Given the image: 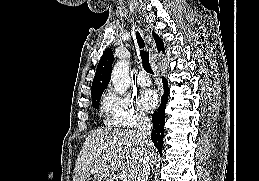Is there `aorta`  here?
<instances>
[{"instance_id":"aorta-1","label":"aorta","mask_w":259,"mask_h":181,"mask_svg":"<svg viewBox=\"0 0 259 181\" xmlns=\"http://www.w3.org/2000/svg\"><path fill=\"white\" fill-rule=\"evenodd\" d=\"M112 84L119 94H124L130 86L129 62L118 61L112 70Z\"/></svg>"}]
</instances>
